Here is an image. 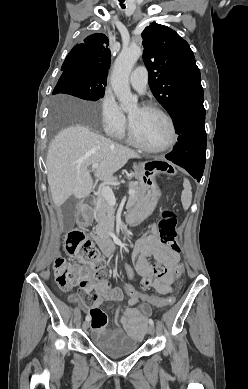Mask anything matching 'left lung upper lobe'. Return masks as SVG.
I'll return each mask as SVG.
<instances>
[{
  "instance_id": "left-lung-upper-lobe-1",
  "label": "left lung upper lobe",
  "mask_w": 248,
  "mask_h": 389,
  "mask_svg": "<svg viewBox=\"0 0 248 389\" xmlns=\"http://www.w3.org/2000/svg\"><path fill=\"white\" fill-rule=\"evenodd\" d=\"M142 38L150 89L170 115L184 101L203 95L199 68L184 39L155 22L144 29Z\"/></svg>"
}]
</instances>
